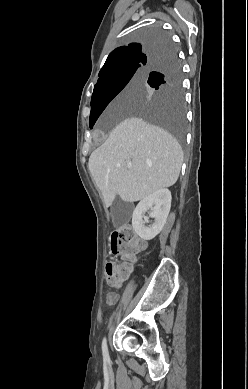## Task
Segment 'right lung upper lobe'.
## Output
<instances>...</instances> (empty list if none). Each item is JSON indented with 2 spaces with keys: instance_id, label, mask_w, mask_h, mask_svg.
I'll use <instances>...</instances> for the list:
<instances>
[{
  "instance_id": "right-lung-upper-lobe-1",
  "label": "right lung upper lobe",
  "mask_w": 248,
  "mask_h": 389,
  "mask_svg": "<svg viewBox=\"0 0 248 389\" xmlns=\"http://www.w3.org/2000/svg\"><path fill=\"white\" fill-rule=\"evenodd\" d=\"M166 44L150 43H131L128 46H122L110 53L104 66L99 72L103 76L113 70L139 65L146 68L153 64L161 56V48Z\"/></svg>"
}]
</instances>
